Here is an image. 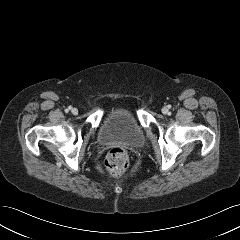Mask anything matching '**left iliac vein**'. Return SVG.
<instances>
[{
  "label": "left iliac vein",
  "instance_id": "obj_1",
  "mask_svg": "<svg viewBox=\"0 0 240 240\" xmlns=\"http://www.w3.org/2000/svg\"><path fill=\"white\" fill-rule=\"evenodd\" d=\"M168 112V109L166 107L162 108V113L166 114Z\"/></svg>",
  "mask_w": 240,
  "mask_h": 240
}]
</instances>
